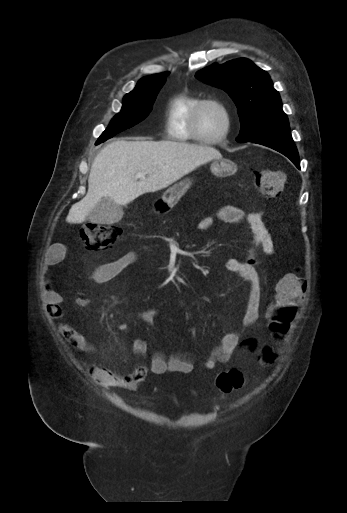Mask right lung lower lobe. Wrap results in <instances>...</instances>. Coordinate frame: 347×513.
Wrapping results in <instances>:
<instances>
[{
  "mask_svg": "<svg viewBox=\"0 0 347 513\" xmlns=\"http://www.w3.org/2000/svg\"><path fill=\"white\" fill-rule=\"evenodd\" d=\"M96 144H97V145H98V144H100V143H99V141H97V142H96Z\"/></svg>",
  "mask_w": 347,
  "mask_h": 513,
  "instance_id": "1",
  "label": "right lung lower lobe"
}]
</instances>
